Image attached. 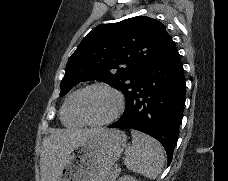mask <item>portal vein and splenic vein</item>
<instances>
[{
  "mask_svg": "<svg viewBox=\"0 0 228 181\" xmlns=\"http://www.w3.org/2000/svg\"><path fill=\"white\" fill-rule=\"evenodd\" d=\"M113 168L114 169H118L119 171H122L123 170V167L122 166H119L118 164H114L113 165Z\"/></svg>",
  "mask_w": 228,
  "mask_h": 181,
  "instance_id": "18ae733b",
  "label": "portal vein and splenic vein"
}]
</instances>
